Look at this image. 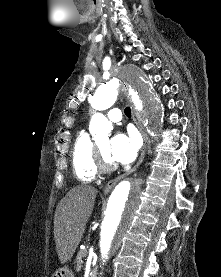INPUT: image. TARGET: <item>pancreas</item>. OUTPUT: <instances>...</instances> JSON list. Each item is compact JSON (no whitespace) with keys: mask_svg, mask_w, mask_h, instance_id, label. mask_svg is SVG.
I'll return each instance as SVG.
<instances>
[{"mask_svg":"<svg viewBox=\"0 0 221 277\" xmlns=\"http://www.w3.org/2000/svg\"><path fill=\"white\" fill-rule=\"evenodd\" d=\"M87 255V251L86 250H80L77 254V258H76V261H77V269H81L82 267V258L86 257Z\"/></svg>","mask_w":221,"mask_h":277,"instance_id":"pancreas-1","label":"pancreas"}]
</instances>
